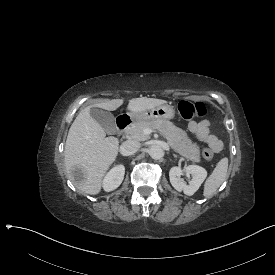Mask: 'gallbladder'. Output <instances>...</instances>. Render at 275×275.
Here are the masks:
<instances>
[{
  "mask_svg": "<svg viewBox=\"0 0 275 275\" xmlns=\"http://www.w3.org/2000/svg\"><path fill=\"white\" fill-rule=\"evenodd\" d=\"M90 115L101 125L107 134L111 135L116 133V123L112 113L92 108L90 110Z\"/></svg>",
  "mask_w": 275,
  "mask_h": 275,
  "instance_id": "bac80fb5",
  "label": "gallbladder"
}]
</instances>
